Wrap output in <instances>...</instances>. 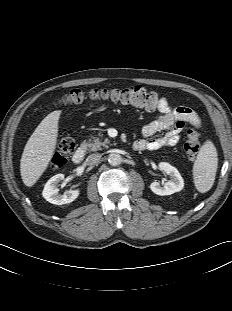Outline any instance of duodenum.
<instances>
[{"label":"duodenum","mask_w":232,"mask_h":311,"mask_svg":"<svg viewBox=\"0 0 232 311\" xmlns=\"http://www.w3.org/2000/svg\"><path fill=\"white\" fill-rule=\"evenodd\" d=\"M142 143L141 142H134L133 147L135 150H141L142 149ZM85 155L84 148H78L74 154L72 155V161L76 164H79L83 161Z\"/></svg>","instance_id":"obj_1"}]
</instances>
